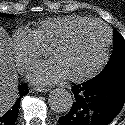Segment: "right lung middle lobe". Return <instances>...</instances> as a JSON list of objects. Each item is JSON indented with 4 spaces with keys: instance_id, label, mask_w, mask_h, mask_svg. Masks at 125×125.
<instances>
[{
    "instance_id": "obj_1",
    "label": "right lung middle lobe",
    "mask_w": 125,
    "mask_h": 125,
    "mask_svg": "<svg viewBox=\"0 0 125 125\" xmlns=\"http://www.w3.org/2000/svg\"><path fill=\"white\" fill-rule=\"evenodd\" d=\"M3 15V16H12L11 14H4V13H0V15Z\"/></svg>"
}]
</instances>
